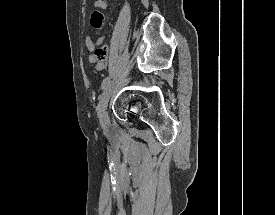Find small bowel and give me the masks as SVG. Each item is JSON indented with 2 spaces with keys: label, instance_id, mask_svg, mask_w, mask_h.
Listing matches in <instances>:
<instances>
[{
  "label": "small bowel",
  "instance_id": "small-bowel-1",
  "mask_svg": "<svg viewBox=\"0 0 275 215\" xmlns=\"http://www.w3.org/2000/svg\"><path fill=\"white\" fill-rule=\"evenodd\" d=\"M107 6H108L107 0H95V2L92 5L93 8H101V9H105ZM102 41L103 39L100 38L96 42H94L90 35H86L85 37V45L88 52L90 53L89 60L95 63V68L97 70H102L106 66L105 62L98 61L96 57L93 55V53L96 50V47L99 44H101Z\"/></svg>",
  "mask_w": 275,
  "mask_h": 215
}]
</instances>
